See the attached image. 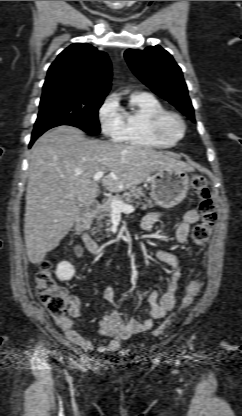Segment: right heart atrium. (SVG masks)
<instances>
[{
    "mask_svg": "<svg viewBox=\"0 0 242 416\" xmlns=\"http://www.w3.org/2000/svg\"><path fill=\"white\" fill-rule=\"evenodd\" d=\"M97 117L102 133L116 140L123 129V117L114 95H108L103 100L98 109Z\"/></svg>",
    "mask_w": 242,
    "mask_h": 416,
    "instance_id": "obj_1",
    "label": "right heart atrium"
}]
</instances>
